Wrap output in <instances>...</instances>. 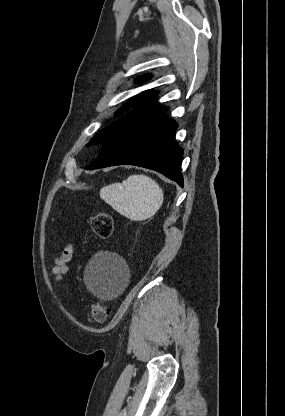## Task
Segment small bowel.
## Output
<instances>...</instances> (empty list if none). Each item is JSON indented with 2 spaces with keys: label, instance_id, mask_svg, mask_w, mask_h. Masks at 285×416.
Wrapping results in <instances>:
<instances>
[{
  "label": "small bowel",
  "instance_id": "obj_1",
  "mask_svg": "<svg viewBox=\"0 0 285 416\" xmlns=\"http://www.w3.org/2000/svg\"><path fill=\"white\" fill-rule=\"evenodd\" d=\"M73 251L74 249L72 245L66 246L61 257L56 260L55 266L53 267L52 272L57 281L62 280L63 277L67 274L68 272L67 264L72 258Z\"/></svg>",
  "mask_w": 285,
  "mask_h": 416
}]
</instances>
